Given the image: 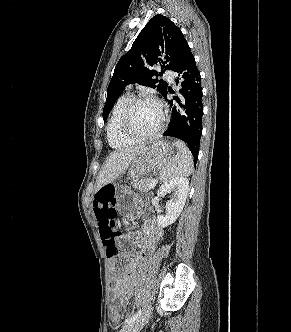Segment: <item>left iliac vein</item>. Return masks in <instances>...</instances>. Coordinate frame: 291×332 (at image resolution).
<instances>
[{
    "label": "left iliac vein",
    "mask_w": 291,
    "mask_h": 332,
    "mask_svg": "<svg viewBox=\"0 0 291 332\" xmlns=\"http://www.w3.org/2000/svg\"><path fill=\"white\" fill-rule=\"evenodd\" d=\"M150 316H151V307H148L139 318H137L132 323L124 326L120 330V332H139L143 328V326L148 322Z\"/></svg>",
    "instance_id": "obj_1"
}]
</instances>
